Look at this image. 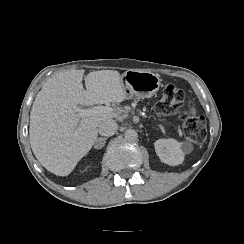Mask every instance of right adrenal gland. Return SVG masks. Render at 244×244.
I'll use <instances>...</instances> for the list:
<instances>
[{
    "mask_svg": "<svg viewBox=\"0 0 244 244\" xmlns=\"http://www.w3.org/2000/svg\"><path fill=\"white\" fill-rule=\"evenodd\" d=\"M100 139H103V141H104V143H105L106 140H107L108 138H104V137H102V138H97V139H96V142L99 141Z\"/></svg>",
    "mask_w": 244,
    "mask_h": 244,
    "instance_id": "right-adrenal-gland-1",
    "label": "right adrenal gland"
}]
</instances>
